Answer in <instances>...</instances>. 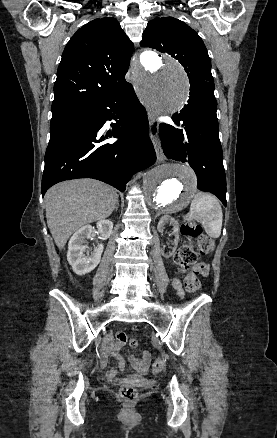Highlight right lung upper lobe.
<instances>
[{
  "instance_id": "cb5924a9",
  "label": "right lung upper lobe",
  "mask_w": 277,
  "mask_h": 438,
  "mask_svg": "<svg viewBox=\"0 0 277 438\" xmlns=\"http://www.w3.org/2000/svg\"><path fill=\"white\" fill-rule=\"evenodd\" d=\"M133 43L115 18L95 19L69 40L57 71L52 112L78 110L126 83ZM79 66L72 68V65Z\"/></svg>"
}]
</instances>
